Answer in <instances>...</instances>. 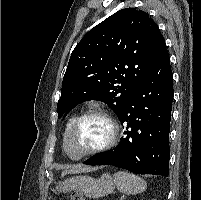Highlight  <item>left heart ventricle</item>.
I'll use <instances>...</instances> for the list:
<instances>
[{"label": "left heart ventricle", "mask_w": 201, "mask_h": 200, "mask_svg": "<svg viewBox=\"0 0 201 200\" xmlns=\"http://www.w3.org/2000/svg\"><path fill=\"white\" fill-rule=\"evenodd\" d=\"M109 127L99 117H90L82 120L74 129L70 146L74 155L96 148L102 145L108 138Z\"/></svg>", "instance_id": "left-heart-ventricle-1"}]
</instances>
